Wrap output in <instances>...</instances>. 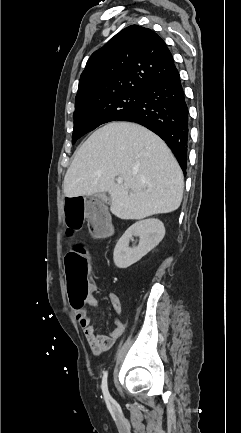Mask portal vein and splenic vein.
I'll return each instance as SVG.
<instances>
[{"mask_svg": "<svg viewBox=\"0 0 241 433\" xmlns=\"http://www.w3.org/2000/svg\"><path fill=\"white\" fill-rule=\"evenodd\" d=\"M117 183H118V184H122V183H123V179H122V178H120V177H119V178H117Z\"/></svg>", "mask_w": 241, "mask_h": 433, "instance_id": "obj_1", "label": "portal vein and splenic vein"}]
</instances>
